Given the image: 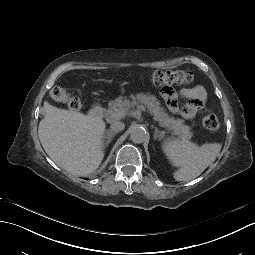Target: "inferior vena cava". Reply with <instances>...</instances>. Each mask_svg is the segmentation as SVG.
<instances>
[{"mask_svg": "<svg viewBox=\"0 0 255 255\" xmlns=\"http://www.w3.org/2000/svg\"><path fill=\"white\" fill-rule=\"evenodd\" d=\"M110 127H111L112 131L119 132V131L124 130L125 124L123 122L116 121V122L112 123Z\"/></svg>", "mask_w": 255, "mask_h": 255, "instance_id": "602c4592", "label": "inferior vena cava"}]
</instances>
